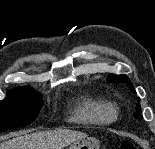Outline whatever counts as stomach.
I'll return each mask as SVG.
<instances>
[{"instance_id": "0dacf381", "label": "stomach", "mask_w": 155, "mask_h": 149, "mask_svg": "<svg viewBox=\"0 0 155 149\" xmlns=\"http://www.w3.org/2000/svg\"><path fill=\"white\" fill-rule=\"evenodd\" d=\"M68 149H99V141L93 137H86L70 144Z\"/></svg>"}]
</instances>
